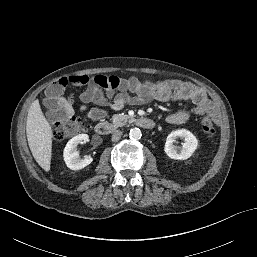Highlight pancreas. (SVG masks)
<instances>
[{
    "label": "pancreas",
    "mask_w": 257,
    "mask_h": 257,
    "mask_svg": "<svg viewBox=\"0 0 257 257\" xmlns=\"http://www.w3.org/2000/svg\"><path fill=\"white\" fill-rule=\"evenodd\" d=\"M130 119H131L130 116L124 115V114H114L112 116V122L114 127L122 126Z\"/></svg>",
    "instance_id": "pancreas-1"
}]
</instances>
